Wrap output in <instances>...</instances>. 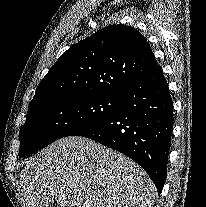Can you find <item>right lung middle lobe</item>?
I'll list each match as a JSON object with an SVG mask.
<instances>
[{"instance_id": "obj_1", "label": "right lung middle lobe", "mask_w": 206, "mask_h": 207, "mask_svg": "<svg viewBox=\"0 0 206 207\" xmlns=\"http://www.w3.org/2000/svg\"><path fill=\"white\" fill-rule=\"evenodd\" d=\"M122 94L74 95L51 98L29 107L20 129V157L37 152L57 139L77 135L112 116Z\"/></svg>"}]
</instances>
